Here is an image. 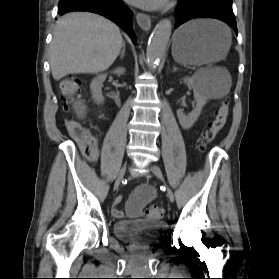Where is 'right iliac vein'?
Here are the masks:
<instances>
[{
    "instance_id": "63e3f726",
    "label": "right iliac vein",
    "mask_w": 279,
    "mask_h": 279,
    "mask_svg": "<svg viewBox=\"0 0 279 279\" xmlns=\"http://www.w3.org/2000/svg\"><path fill=\"white\" fill-rule=\"evenodd\" d=\"M125 171H126V165H124V166L121 168V170H120V172H119V175H118V177H117V179H116V181H115L114 189H116V188L119 187V185H120V183H121V181H122V179H123V177H124V175H125Z\"/></svg>"
}]
</instances>
